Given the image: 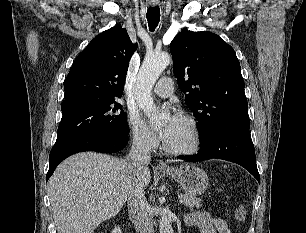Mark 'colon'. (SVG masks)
I'll use <instances>...</instances> for the list:
<instances>
[{"label": "colon", "mask_w": 306, "mask_h": 233, "mask_svg": "<svg viewBox=\"0 0 306 233\" xmlns=\"http://www.w3.org/2000/svg\"><path fill=\"white\" fill-rule=\"evenodd\" d=\"M246 214H247V210L242 205L237 206L234 210V218L238 222H243L246 218ZM97 233H103V232L99 231Z\"/></svg>", "instance_id": "5ec220e1"}]
</instances>
